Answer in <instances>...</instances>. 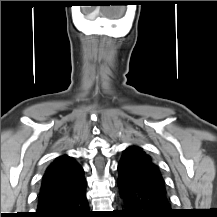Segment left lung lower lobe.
Listing matches in <instances>:
<instances>
[{
    "instance_id": "obj_1",
    "label": "left lung lower lobe",
    "mask_w": 217,
    "mask_h": 217,
    "mask_svg": "<svg viewBox=\"0 0 217 217\" xmlns=\"http://www.w3.org/2000/svg\"><path fill=\"white\" fill-rule=\"evenodd\" d=\"M117 185L126 208L121 212L125 217H172L167 192L133 184L120 174Z\"/></svg>"
}]
</instances>
